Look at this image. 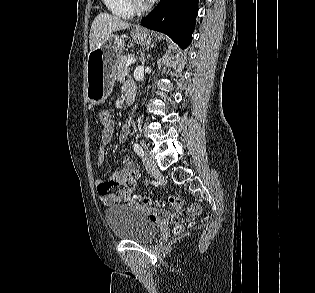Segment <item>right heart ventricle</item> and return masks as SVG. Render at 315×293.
<instances>
[{
    "label": "right heart ventricle",
    "mask_w": 315,
    "mask_h": 293,
    "mask_svg": "<svg viewBox=\"0 0 315 293\" xmlns=\"http://www.w3.org/2000/svg\"><path fill=\"white\" fill-rule=\"evenodd\" d=\"M107 11L119 19H128L134 12L128 6L127 0H102Z\"/></svg>",
    "instance_id": "obj_1"
}]
</instances>
